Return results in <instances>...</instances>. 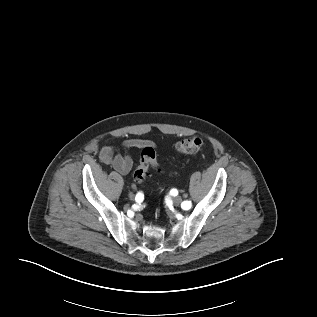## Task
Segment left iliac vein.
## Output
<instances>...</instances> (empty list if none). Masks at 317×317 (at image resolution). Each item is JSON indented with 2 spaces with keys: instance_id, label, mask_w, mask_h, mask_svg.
<instances>
[{
  "instance_id": "obj_1",
  "label": "left iliac vein",
  "mask_w": 317,
  "mask_h": 317,
  "mask_svg": "<svg viewBox=\"0 0 317 317\" xmlns=\"http://www.w3.org/2000/svg\"><path fill=\"white\" fill-rule=\"evenodd\" d=\"M172 201H173L175 206H178V205L181 204L182 198L180 196H175V197L172 198Z\"/></svg>"
}]
</instances>
